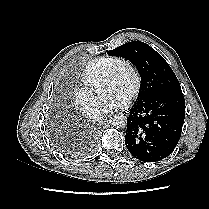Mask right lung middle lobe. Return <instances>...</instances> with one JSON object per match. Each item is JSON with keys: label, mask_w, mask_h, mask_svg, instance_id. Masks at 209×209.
Returning a JSON list of instances; mask_svg holds the SVG:
<instances>
[{"label": "right lung middle lobe", "mask_w": 209, "mask_h": 209, "mask_svg": "<svg viewBox=\"0 0 209 209\" xmlns=\"http://www.w3.org/2000/svg\"><path fill=\"white\" fill-rule=\"evenodd\" d=\"M55 143L63 153L74 154L84 151L83 147L72 145L66 138H56Z\"/></svg>", "instance_id": "obj_1"}]
</instances>
